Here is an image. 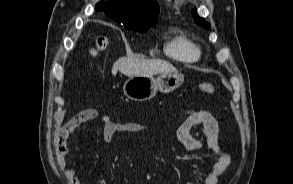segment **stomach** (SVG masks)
Here are the masks:
<instances>
[{"instance_id":"1","label":"stomach","mask_w":293,"mask_h":184,"mask_svg":"<svg viewBox=\"0 0 293 184\" xmlns=\"http://www.w3.org/2000/svg\"><path fill=\"white\" fill-rule=\"evenodd\" d=\"M184 76L178 72H163L157 78L153 75L130 76L123 85L126 97L134 101L150 100L159 90L162 93H170L180 87Z\"/></svg>"}]
</instances>
